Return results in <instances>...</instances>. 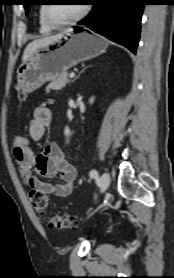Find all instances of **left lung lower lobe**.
I'll return each instance as SVG.
<instances>
[{"label": "left lung lower lobe", "instance_id": "obj_1", "mask_svg": "<svg viewBox=\"0 0 174 278\" xmlns=\"http://www.w3.org/2000/svg\"><path fill=\"white\" fill-rule=\"evenodd\" d=\"M91 5L92 11L78 24L136 53L144 0H91Z\"/></svg>", "mask_w": 174, "mask_h": 278}]
</instances>
